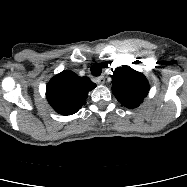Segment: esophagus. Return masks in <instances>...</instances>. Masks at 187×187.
Here are the masks:
<instances>
[{
  "instance_id": "esophagus-1",
  "label": "esophagus",
  "mask_w": 187,
  "mask_h": 187,
  "mask_svg": "<svg viewBox=\"0 0 187 187\" xmlns=\"http://www.w3.org/2000/svg\"><path fill=\"white\" fill-rule=\"evenodd\" d=\"M95 82L99 85H103L105 83V78L104 76H100L98 78H96Z\"/></svg>"
}]
</instances>
